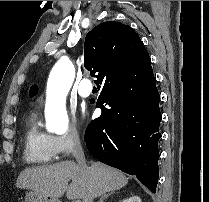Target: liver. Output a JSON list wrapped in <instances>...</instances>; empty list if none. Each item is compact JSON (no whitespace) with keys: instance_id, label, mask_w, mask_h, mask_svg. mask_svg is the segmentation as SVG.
Segmentation results:
<instances>
[{"instance_id":"obj_1","label":"liver","mask_w":209,"mask_h":202,"mask_svg":"<svg viewBox=\"0 0 209 202\" xmlns=\"http://www.w3.org/2000/svg\"><path fill=\"white\" fill-rule=\"evenodd\" d=\"M72 180L70 185L68 182ZM128 183V178L120 171L99 162H92L87 174H83L78 164L62 161L53 165L24 169L17 178L16 187L34 190L49 197L59 198L66 192L69 200L93 199Z\"/></svg>"}]
</instances>
